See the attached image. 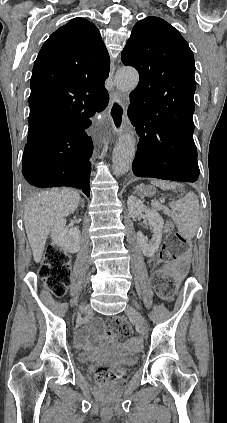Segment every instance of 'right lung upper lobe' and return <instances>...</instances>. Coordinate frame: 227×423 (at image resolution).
I'll return each mask as SVG.
<instances>
[{"instance_id":"obj_1","label":"right lung upper lobe","mask_w":227,"mask_h":423,"mask_svg":"<svg viewBox=\"0 0 227 423\" xmlns=\"http://www.w3.org/2000/svg\"><path fill=\"white\" fill-rule=\"evenodd\" d=\"M109 70L99 30L86 19L74 18L42 46L32 71L29 105L108 103L104 82ZM69 125L60 118L30 120L28 143L41 142Z\"/></svg>"}]
</instances>
